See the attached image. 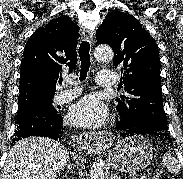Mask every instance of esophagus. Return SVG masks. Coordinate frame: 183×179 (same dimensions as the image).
<instances>
[{
    "label": "esophagus",
    "mask_w": 183,
    "mask_h": 179,
    "mask_svg": "<svg viewBox=\"0 0 183 179\" xmlns=\"http://www.w3.org/2000/svg\"><path fill=\"white\" fill-rule=\"evenodd\" d=\"M82 38L85 41L93 42V33L89 30H83ZM114 140L111 133L105 131L81 133L78 138V144L88 152L97 153L108 147Z\"/></svg>",
    "instance_id": "1"
}]
</instances>
